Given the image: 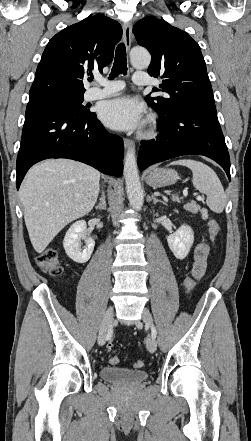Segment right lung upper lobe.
Here are the masks:
<instances>
[{
	"label": "right lung upper lobe",
	"mask_w": 251,
	"mask_h": 441,
	"mask_svg": "<svg viewBox=\"0 0 251 441\" xmlns=\"http://www.w3.org/2000/svg\"><path fill=\"white\" fill-rule=\"evenodd\" d=\"M121 25L104 15L88 17L57 33L47 44L29 92V102L54 95L84 94L83 79L113 59Z\"/></svg>",
	"instance_id": "cb5924a9"
}]
</instances>
